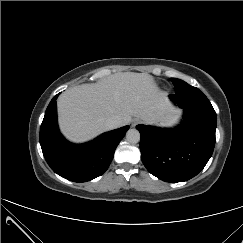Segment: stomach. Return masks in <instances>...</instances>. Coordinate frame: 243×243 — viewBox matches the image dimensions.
I'll use <instances>...</instances> for the list:
<instances>
[{"instance_id": "0dacf381", "label": "stomach", "mask_w": 243, "mask_h": 243, "mask_svg": "<svg viewBox=\"0 0 243 243\" xmlns=\"http://www.w3.org/2000/svg\"><path fill=\"white\" fill-rule=\"evenodd\" d=\"M179 118V113L177 111H169L162 115L157 123L160 124L161 126H171L177 122Z\"/></svg>"}]
</instances>
